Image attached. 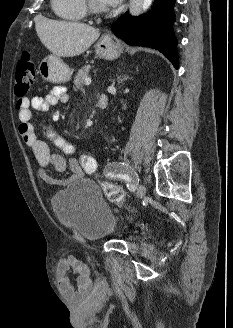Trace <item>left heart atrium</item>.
<instances>
[{
  "mask_svg": "<svg viewBox=\"0 0 233 328\" xmlns=\"http://www.w3.org/2000/svg\"><path fill=\"white\" fill-rule=\"evenodd\" d=\"M102 5L108 7H115L117 6L121 0H98Z\"/></svg>",
  "mask_w": 233,
  "mask_h": 328,
  "instance_id": "39dd6f15",
  "label": "left heart atrium"
}]
</instances>
